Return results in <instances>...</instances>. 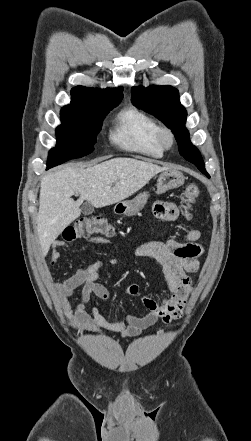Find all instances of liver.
Listing matches in <instances>:
<instances>
[{"label":"liver","mask_w":251,"mask_h":441,"mask_svg":"<svg viewBox=\"0 0 251 441\" xmlns=\"http://www.w3.org/2000/svg\"><path fill=\"white\" fill-rule=\"evenodd\" d=\"M170 169L133 158L117 157L89 168L65 167L40 183L37 231L43 256L62 231L81 214L84 200L96 208L118 203L143 188L157 173ZM80 194L77 201L71 197Z\"/></svg>","instance_id":"1"}]
</instances>
